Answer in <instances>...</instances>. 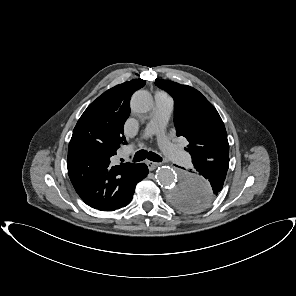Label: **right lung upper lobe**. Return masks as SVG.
Segmentation results:
<instances>
[{"mask_svg": "<svg viewBox=\"0 0 296 296\" xmlns=\"http://www.w3.org/2000/svg\"><path fill=\"white\" fill-rule=\"evenodd\" d=\"M145 83L136 79L107 90L87 107L73 130L68 174L80 198L92 208L113 211L128 198L136 164L112 166L110 158L121 143L126 144L123 126L130 114V97Z\"/></svg>", "mask_w": 296, "mask_h": 296, "instance_id": "right-lung-upper-lobe-1", "label": "right lung upper lobe"}]
</instances>
